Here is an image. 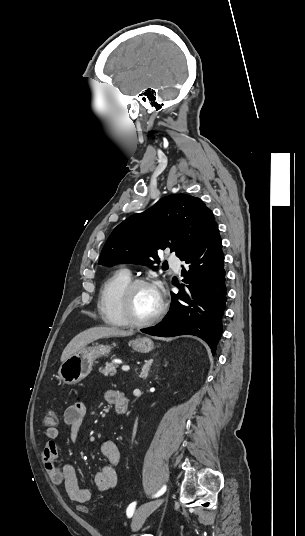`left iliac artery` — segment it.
I'll list each match as a JSON object with an SVG mask.
<instances>
[{"label": "left iliac artery", "mask_w": 305, "mask_h": 536, "mask_svg": "<svg viewBox=\"0 0 305 536\" xmlns=\"http://www.w3.org/2000/svg\"><path fill=\"white\" fill-rule=\"evenodd\" d=\"M165 491H166V486H163L162 489L155 495V497H158V496L162 495ZM135 505H136V502L130 504L129 507L127 508V516L128 517H132V515L134 513Z\"/></svg>", "instance_id": "44dca946"}]
</instances>
